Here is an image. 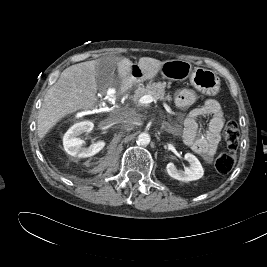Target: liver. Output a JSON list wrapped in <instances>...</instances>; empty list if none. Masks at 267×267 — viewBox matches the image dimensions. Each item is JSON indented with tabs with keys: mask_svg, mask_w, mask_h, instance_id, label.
I'll return each mask as SVG.
<instances>
[{
	"mask_svg": "<svg viewBox=\"0 0 267 267\" xmlns=\"http://www.w3.org/2000/svg\"><path fill=\"white\" fill-rule=\"evenodd\" d=\"M117 66L119 78L123 82L133 79L131 76L133 63L126 57L107 58ZM100 59L78 63L66 68L57 82L47 91L37 119V131L40 139L65 116L78 110L95 108L98 65ZM163 62L141 57L138 67L144 80L154 78L161 69Z\"/></svg>",
	"mask_w": 267,
	"mask_h": 267,
	"instance_id": "obj_1",
	"label": "liver"
}]
</instances>
